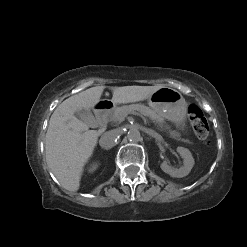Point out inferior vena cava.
Here are the masks:
<instances>
[{"label": "inferior vena cava", "mask_w": 247, "mask_h": 247, "mask_svg": "<svg viewBox=\"0 0 247 247\" xmlns=\"http://www.w3.org/2000/svg\"><path fill=\"white\" fill-rule=\"evenodd\" d=\"M120 132L116 129L105 132L100 140L99 144L102 148H110L115 144V140L119 137Z\"/></svg>", "instance_id": "inferior-vena-cava-1"}]
</instances>
